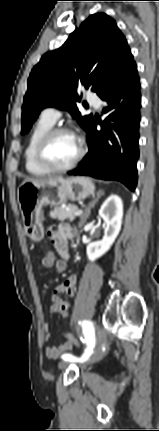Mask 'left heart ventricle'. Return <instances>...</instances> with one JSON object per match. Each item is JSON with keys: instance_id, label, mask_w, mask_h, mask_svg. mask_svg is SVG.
<instances>
[{"instance_id": "1", "label": "left heart ventricle", "mask_w": 159, "mask_h": 431, "mask_svg": "<svg viewBox=\"0 0 159 431\" xmlns=\"http://www.w3.org/2000/svg\"><path fill=\"white\" fill-rule=\"evenodd\" d=\"M78 153V141L71 134L57 135L50 143L47 156L56 166L69 164Z\"/></svg>"}]
</instances>
